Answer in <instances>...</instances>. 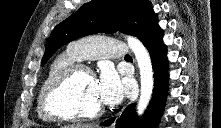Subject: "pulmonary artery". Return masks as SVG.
Wrapping results in <instances>:
<instances>
[{
	"label": "pulmonary artery",
	"mask_w": 221,
	"mask_h": 128,
	"mask_svg": "<svg viewBox=\"0 0 221 128\" xmlns=\"http://www.w3.org/2000/svg\"><path fill=\"white\" fill-rule=\"evenodd\" d=\"M68 47L80 60L98 57L127 59L129 55L123 41L96 36H84L72 41Z\"/></svg>",
	"instance_id": "pulmonary-artery-1"
}]
</instances>
